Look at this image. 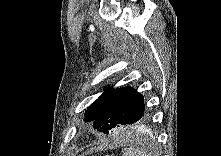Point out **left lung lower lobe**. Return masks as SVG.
Segmentation results:
<instances>
[{
    "mask_svg": "<svg viewBox=\"0 0 221 156\" xmlns=\"http://www.w3.org/2000/svg\"><path fill=\"white\" fill-rule=\"evenodd\" d=\"M148 121H149V118H146V119L142 120V122H139V123L136 124V125L142 126V125L147 124Z\"/></svg>",
    "mask_w": 221,
    "mask_h": 156,
    "instance_id": "1",
    "label": "left lung lower lobe"
}]
</instances>
